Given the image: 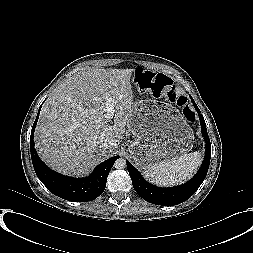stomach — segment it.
Returning <instances> with one entry per match:
<instances>
[{
	"label": "stomach",
	"mask_w": 253,
	"mask_h": 253,
	"mask_svg": "<svg viewBox=\"0 0 253 253\" xmlns=\"http://www.w3.org/2000/svg\"><path fill=\"white\" fill-rule=\"evenodd\" d=\"M127 127L134 138L129 152L143 169L177 159L193 146L194 134L185 117L164 101L135 102Z\"/></svg>",
	"instance_id": "1"
}]
</instances>
